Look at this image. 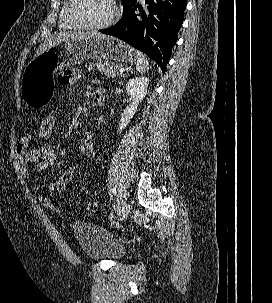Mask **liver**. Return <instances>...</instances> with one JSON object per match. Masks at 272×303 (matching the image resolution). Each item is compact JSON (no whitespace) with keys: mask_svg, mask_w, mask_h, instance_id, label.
Returning a JSON list of instances; mask_svg holds the SVG:
<instances>
[{"mask_svg":"<svg viewBox=\"0 0 272 303\" xmlns=\"http://www.w3.org/2000/svg\"><path fill=\"white\" fill-rule=\"evenodd\" d=\"M103 37L104 35L96 33V32H62V33H56L53 36L48 37L44 43L38 48V50L35 53L34 58L41 55L45 50L48 48L55 46L61 42L67 41V40H76V39H85V38H91V37Z\"/></svg>","mask_w":272,"mask_h":303,"instance_id":"obj_1","label":"liver"}]
</instances>
